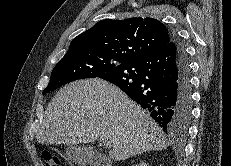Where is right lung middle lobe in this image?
<instances>
[{
    "mask_svg": "<svg viewBox=\"0 0 231 166\" xmlns=\"http://www.w3.org/2000/svg\"><path fill=\"white\" fill-rule=\"evenodd\" d=\"M126 62L128 60L124 58L109 56L93 50L68 53L54 67L50 82L43 94L75 80L98 77Z\"/></svg>",
    "mask_w": 231,
    "mask_h": 166,
    "instance_id": "right-lung-middle-lobe-1",
    "label": "right lung middle lobe"
}]
</instances>
